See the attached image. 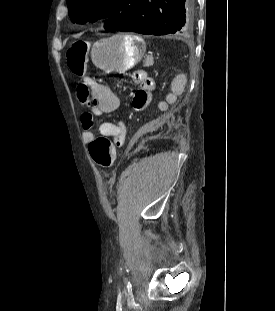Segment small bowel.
<instances>
[{"label": "small bowel", "instance_id": "obj_1", "mask_svg": "<svg viewBox=\"0 0 275 311\" xmlns=\"http://www.w3.org/2000/svg\"><path fill=\"white\" fill-rule=\"evenodd\" d=\"M133 79L136 82L137 91L134 92L132 106L139 111L144 108L153 107V93H156V81L151 80L152 74L147 73L146 69H133ZM172 80H163V87H168V91H162L161 97L163 101H156V110L158 112H168L170 103H175L176 98H183L185 87L190 86L189 80H183V73H172ZM93 89V104L86 106L85 112L81 114V123L84 129V137L87 141H91L94 137V131L97 128L98 132L104 136L112 137L114 142L120 146L125 141L128 125L122 121L117 122H102L96 126L95 120L91 112L101 116L111 113L119 108L120 101L111 88L104 84L90 83Z\"/></svg>", "mask_w": 275, "mask_h": 311}]
</instances>
